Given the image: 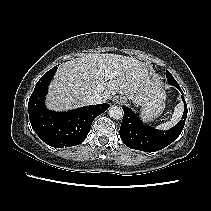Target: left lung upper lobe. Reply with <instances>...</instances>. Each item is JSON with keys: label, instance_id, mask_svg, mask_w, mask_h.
Returning <instances> with one entry per match:
<instances>
[{"label": "left lung upper lobe", "instance_id": "5c2ea615", "mask_svg": "<svg viewBox=\"0 0 211 211\" xmlns=\"http://www.w3.org/2000/svg\"><path fill=\"white\" fill-rule=\"evenodd\" d=\"M166 78L168 80V82L173 85L174 82H176V80L173 78V76L171 75V73L169 71L166 70Z\"/></svg>", "mask_w": 211, "mask_h": 211}]
</instances>
